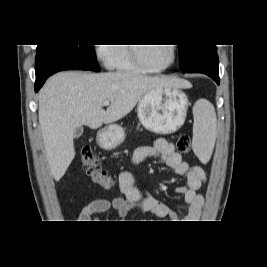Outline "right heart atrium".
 <instances>
[{"instance_id": "right-heart-atrium-1", "label": "right heart atrium", "mask_w": 267, "mask_h": 267, "mask_svg": "<svg viewBox=\"0 0 267 267\" xmlns=\"http://www.w3.org/2000/svg\"><path fill=\"white\" fill-rule=\"evenodd\" d=\"M95 54L107 68L112 67L113 47L107 43H101L95 46Z\"/></svg>"}]
</instances>
